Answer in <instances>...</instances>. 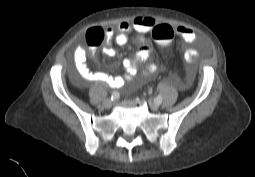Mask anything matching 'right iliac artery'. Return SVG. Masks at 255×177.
I'll list each match as a JSON object with an SVG mask.
<instances>
[{"label":"right iliac artery","instance_id":"1","mask_svg":"<svg viewBox=\"0 0 255 177\" xmlns=\"http://www.w3.org/2000/svg\"><path fill=\"white\" fill-rule=\"evenodd\" d=\"M119 98V93L117 91H114L111 95V100H116Z\"/></svg>","mask_w":255,"mask_h":177}]
</instances>
